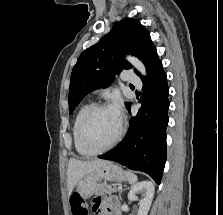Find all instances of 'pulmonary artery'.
<instances>
[{
  "instance_id": "e3ab8cb5",
  "label": "pulmonary artery",
  "mask_w": 223,
  "mask_h": 215,
  "mask_svg": "<svg viewBox=\"0 0 223 215\" xmlns=\"http://www.w3.org/2000/svg\"><path fill=\"white\" fill-rule=\"evenodd\" d=\"M121 74H125V78H129V81L132 82V87L141 89L142 83L139 81L138 73H132V69H121Z\"/></svg>"
}]
</instances>
